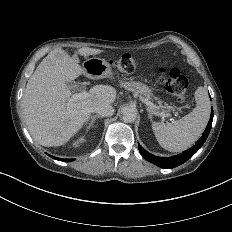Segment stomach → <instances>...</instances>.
Returning a JSON list of instances; mask_svg holds the SVG:
<instances>
[{
  "instance_id": "1",
  "label": "stomach",
  "mask_w": 232,
  "mask_h": 232,
  "mask_svg": "<svg viewBox=\"0 0 232 232\" xmlns=\"http://www.w3.org/2000/svg\"><path fill=\"white\" fill-rule=\"evenodd\" d=\"M83 67L87 70V75L93 79H100V78H116L121 85L122 88L128 90L132 93L145 95L151 97L153 95L152 89L147 86L146 84L140 81H127L117 77L110 65V63L100 57H93L87 59Z\"/></svg>"
}]
</instances>
